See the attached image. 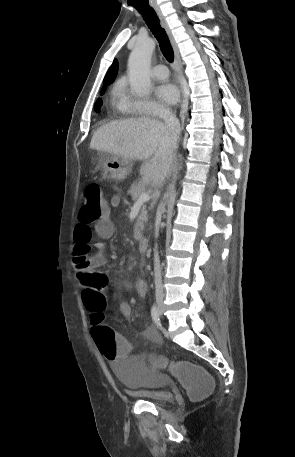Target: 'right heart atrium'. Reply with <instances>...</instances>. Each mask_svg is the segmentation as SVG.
Returning a JSON list of instances; mask_svg holds the SVG:
<instances>
[{"mask_svg":"<svg viewBox=\"0 0 295 457\" xmlns=\"http://www.w3.org/2000/svg\"><path fill=\"white\" fill-rule=\"evenodd\" d=\"M131 106L133 111L139 115L165 117L170 114L168 107L153 99L131 98Z\"/></svg>","mask_w":295,"mask_h":457,"instance_id":"d8ad5b80","label":"right heart atrium"}]
</instances>
